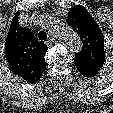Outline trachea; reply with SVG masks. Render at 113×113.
<instances>
[{"label":"trachea","mask_w":113,"mask_h":113,"mask_svg":"<svg viewBox=\"0 0 113 113\" xmlns=\"http://www.w3.org/2000/svg\"><path fill=\"white\" fill-rule=\"evenodd\" d=\"M38 39L39 40H47V33L45 32V31H40L39 33H38Z\"/></svg>","instance_id":"trachea-1"}]
</instances>
